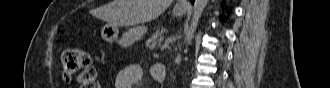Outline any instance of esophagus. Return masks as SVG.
<instances>
[{
  "label": "esophagus",
  "mask_w": 330,
  "mask_h": 88,
  "mask_svg": "<svg viewBox=\"0 0 330 88\" xmlns=\"http://www.w3.org/2000/svg\"><path fill=\"white\" fill-rule=\"evenodd\" d=\"M179 4H180V5H187V3H186L185 1H183V0H181V1L179 2Z\"/></svg>",
  "instance_id": "obj_1"
}]
</instances>
